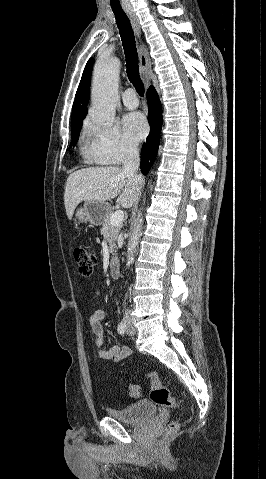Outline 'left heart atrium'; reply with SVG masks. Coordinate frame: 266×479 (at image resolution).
I'll list each match as a JSON object with an SVG mask.
<instances>
[{
    "mask_svg": "<svg viewBox=\"0 0 266 479\" xmlns=\"http://www.w3.org/2000/svg\"><path fill=\"white\" fill-rule=\"evenodd\" d=\"M123 128L128 139L137 142L146 135L148 125L141 113L132 112L123 118Z\"/></svg>",
    "mask_w": 266,
    "mask_h": 479,
    "instance_id": "obj_1",
    "label": "left heart atrium"
}]
</instances>
